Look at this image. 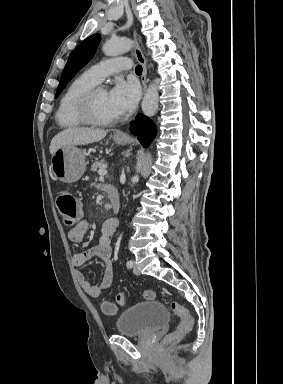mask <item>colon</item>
I'll list each match as a JSON object with an SVG mask.
<instances>
[{
    "label": "colon",
    "mask_w": 283,
    "mask_h": 384,
    "mask_svg": "<svg viewBox=\"0 0 283 384\" xmlns=\"http://www.w3.org/2000/svg\"><path fill=\"white\" fill-rule=\"evenodd\" d=\"M56 203L59 209L60 217L65 226L71 227L78 222L81 212L78 201L74 194L69 190H60L56 196ZM142 297L145 300L152 301L156 299V293L153 290H145L142 292ZM116 301L119 305H125L128 302V295L124 292L118 293ZM102 311L105 314L111 315L115 313V305L111 302H103L101 305ZM173 313L180 318L178 327L170 333L164 343L171 345L178 342L184 335H186L194 324L193 317L189 311L180 303L173 301L171 303Z\"/></svg>",
    "instance_id": "obj_1"
}]
</instances>
